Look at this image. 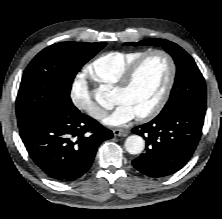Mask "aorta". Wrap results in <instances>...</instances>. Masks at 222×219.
<instances>
[{"instance_id": "762f6f07", "label": "aorta", "mask_w": 222, "mask_h": 219, "mask_svg": "<svg viewBox=\"0 0 222 219\" xmlns=\"http://www.w3.org/2000/svg\"><path fill=\"white\" fill-rule=\"evenodd\" d=\"M107 94L101 89L95 91L94 98L99 104H103L107 99ZM125 149L128 153L136 155L144 150L145 141L139 135H131L125 141Z\"/></svg>"}]
</instances>
